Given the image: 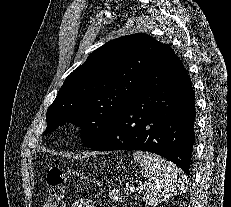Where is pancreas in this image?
<instances>
[{"instance_id": "cf45deb5", "label": "pancreas", "mask_w": 231, "mask_h": 207, "mask_svg": "<svg viewBox=\"0 0 231 207\" xmlns=\"http://www.w3.org/2000/svg\"><path fill=\"white\" fill-rule=\"evenodd\" d=\"M108 195L113 202H118L122 200L120 193L116 190L109 191Z\"/></svg>"}]
</instances>
